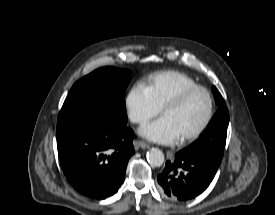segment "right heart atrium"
Segmentation results:
<instances>
[{"label": "right heart atrium", "instance_id": "d8ad5b80", "mask_svg": "<svg viewBox=\"0 0 275 215\" xmlns=\"http://www.w3.org/2000/svg\"><path fill=\"white\" fill-rule=\"evenodd\" d=\"M125 103L129 118L135 124L143 125L160 112L146 86L141 83L131 87Z\"/></svg>", "mask_w": 275, "mask_h": 215}]
</instances>
